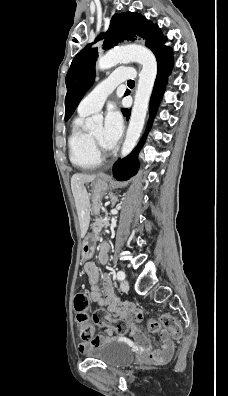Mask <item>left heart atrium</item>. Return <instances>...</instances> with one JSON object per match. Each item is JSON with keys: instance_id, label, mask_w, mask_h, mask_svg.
Returning a JSON list of instances; mask_svg holds the SVG:
<instances>
[{"instance_id": "obj_1", "label": "left heart atrium", "mask_w": 228, "mask_h": 396, "mask_svg": "<svg viewBox=\"0 0 228 396\" xmlns=\"http://www.w3.org/2000/svg\"><path fill=\"white\" fill-rule=\"evenodd\" d=\"M123 132V120L120 112L112 108L105 118L104 123V141L110 147H114L120 139Z\"/></svg>"}]
</instances>
